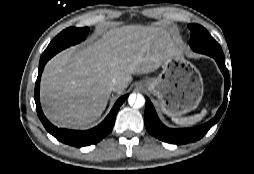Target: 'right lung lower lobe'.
I'll use <instances>...</instances> for the list:
<instances>
[{
  "label": "right lung lower lobe",
  "instance_id": "1",
  "mask_svg": "<svg viewBox=\"0 0 254 174\" xmlns=\"http://www.w3.org/2000/svg\"><path fill=\"white\" fill-rule=\"evenodd\" d=\"M47 61L48 60H40L38 77L35 84V95H34L37 114L42 124L44 125L45 129L60 142L71 145V146L82 147V146H88L91 144L98 143L106 135H108L111 132L114 126L116 114L120 106L122 105V103L128 97V95H125L119 98L117 102L115 103V105L113 106L110 113L108 114V116L105 118V120L101 124L96 126L95 128H92L86 131L59 129L55 127L54 125H52L46 119L40 106V100H39L40 79H41L42 71Z\"/></svg>",
  "mask_w": 254,
  "mask_h": 174
}]
</instances>
